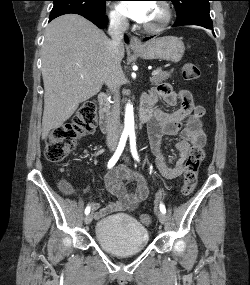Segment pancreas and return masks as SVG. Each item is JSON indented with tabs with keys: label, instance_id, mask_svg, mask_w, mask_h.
Listing matches in <instances>:
<instances>
[{
	"label": "pancreas",
	"instance_id": "1",
	"mask_svg": "<svg viewBox=\"0 0 250 285\" xmlns=\"http://www.w3.org/2000/svg\"><path fill=\"white\" fill-rule=\"evenodd\" d=\"M158 70H159V73L150 78V82L152 85H157V84L162 83L163 81L167 80L171 76V73H172V71L166 72V71H162L161 69H158Z\"/></svg>",
	"mask_w": 250,
	"mask_h": 285
}]
</instances>
